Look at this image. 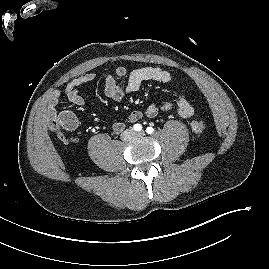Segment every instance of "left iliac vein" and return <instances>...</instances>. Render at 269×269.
Here are the masks:
<instances>
[{"mask_svg":"<svg viewBox=\"0 0 269 269\" xmlns=\"http://www.w3.org/2000/svg\"><path fill=\"white\" fill-rule=\"evenodd\" d=\"M143 135H144L143 132H139V133L137 134V136H143Z\"/></svg>","mask_w":269,"mask_h":269,"instance_id":"4c4485c4","label":"left iliac vein"}]
</instances>
